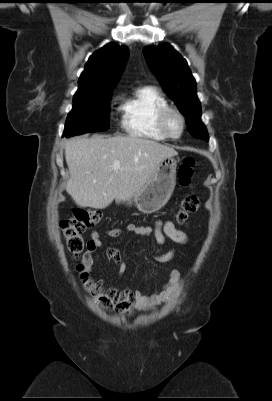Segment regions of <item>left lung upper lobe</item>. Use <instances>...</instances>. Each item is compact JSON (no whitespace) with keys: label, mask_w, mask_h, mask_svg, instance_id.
Wrapping results in <instances>:
<instances>
[{"label":"left lung upper lobe","mask_w":272,"mask_h":401,"mask_svg":"<svg viewBox=\"0 0 272 401\" xmlns=\"http://www.w3.org/2000/svg\"><path fill=\"white\" fill-rule=\"evenodd\" d=\"M143 53L151 71L185 116L190 134L208 141V133L201 122V105L196 94V81L186 60L169 44L147 46Z\"/></svg>","instance_id":"left-lung-upper-lobe-1"}]
</instances>
